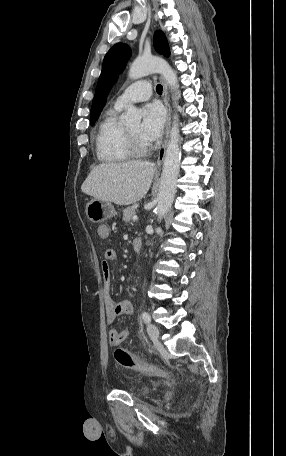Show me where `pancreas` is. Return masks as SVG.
<instances>
[{
    "instance_id": "pancreas-1",
    "label": "pancreas",
    "mask_w": 286,
    "mask_h": 456,
    "mask_svg": "<svg viewBox=\"0 0 286 456\" xmlns=\"http://www.w3.org/2000/svg\"><path fill=\"white\" fill-rule=\"evenodd\" d=\"M136 215V207L131 206L127 207L126 209L123 210V221L124 222H130L132 217Z\"/></svg>"
}]
</instances>
